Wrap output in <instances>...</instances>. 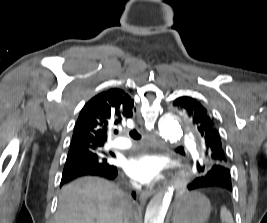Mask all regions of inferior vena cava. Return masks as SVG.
I'll return each instance as SVG.
<instances>
[{"label":"inferior vena cava","instance_id":"inferior-vena-cava-1","mask_svg":"<svg viewBox=\"0 0 267 223\" xmlns=\"http://www.w3.org/2000/svg\"><path fill=\"white\" fill-rule=\"evenodd\" d=\"M133 187L138 189L139 185L138 184H133ZM132 216H133L132 203L128 199V207H127V210L125 211V214H124V223H131L130 220H131Z\"/></svg>","mask_w":267,"mask_h":223}]
</instances>
